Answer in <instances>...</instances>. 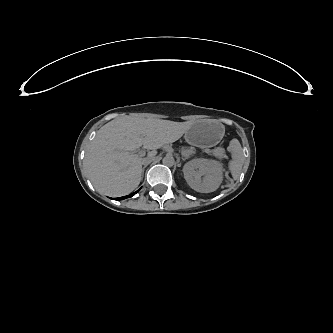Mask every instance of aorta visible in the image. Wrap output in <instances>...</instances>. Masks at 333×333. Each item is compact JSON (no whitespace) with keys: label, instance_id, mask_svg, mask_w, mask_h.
<instances>
[{"label":"aorta","instance_id":"aorta-1","mask_svg":"<svg viewBox=\"0 0 333 333\" xmlns=\"http://www.w3.org/2000/svg\"><path fill=\"white\" fill-rule=\"evenodd\" d=\"M162 163L167 167H172L175 164V159L172 154H167L163 159Z\"/></svg>","mask_w":333,"mask_h":333}]
</instances>
